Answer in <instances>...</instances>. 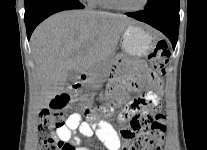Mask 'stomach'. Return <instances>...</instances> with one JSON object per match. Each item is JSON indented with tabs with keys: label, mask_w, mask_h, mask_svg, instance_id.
<instances>
[{
	"label": "stomach",
	"mask_w": 207,
	"mask_h": 150,
	"mask_svg": "<svg viewBox=\"0 0 207 150\" xmlns=\"http://www.w3.org/2000/svg\"><path fill=\"white\" fill-rule=\"evenodd\" d=\"M156 32L144 24H131L122 34L121 46L124 54L132 59L145 58L154 48ZM115 84L106 87V95L116 91Z\"/></svg>",
	"instance_id": "1"
}]
</instances>
